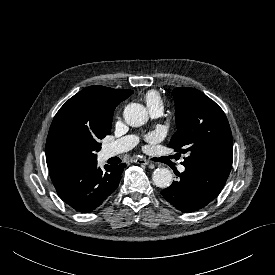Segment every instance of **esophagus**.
<instances>
[{
	"label": "esophagus",
	"mask_w": 275,
	"mask_h": 275,
	"mask_svg": "<svg viewBox=\"0 0 275 275\" xmlns=\"http://www.w3.org/2000/svg\"><path fill=\"white\" fill-rule=\"evenodd\" d=\"M136 163L143 164V165H148V164H150V161L147 160V159H136Z\"/></svg>",
	"instance_id": "obj_1"
}]
</instances>
